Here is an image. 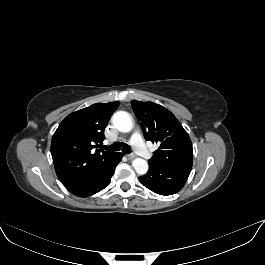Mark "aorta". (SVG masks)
Returning <instances> with one entry per match:
<instances>
[{"instance_id":"1","label":"aorta","mask_w":265,"mask_h":265,"mask_svg":"<svg viewBox=\"0 0 265 265\" xmlns=\"http://www.w3.org/2000/svg\"><path fill=\"white\" fill-rule=\"evenodd\" d=\"M112 122L114 127L120 132H130L133 128V119L131 115L125 111H118L113 114ZM132 166L136 173L144 175L148 171V163L142 158H136L132 161Z\"/></svg>"}]
</instances>
